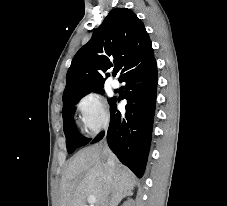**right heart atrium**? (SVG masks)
Segmentation results:
<instances>
[{
  "mask_svg": "<svg viewBox=\"0 0 227 206\" xmlns=\"http://www.w3.org/2000/svg\"><path fill=\"white\" fill-rule=\"evenodd\" d=\"M81 124L90 135H95L109 123V112L104 99L96 92L85 94L77 104Z\"/></svg>",
  "mask_w": 227,
  "mask_h": 206,
  "instance_id": "d8ad5b80",
  "label": "right heart atrium"
}]
</instances>
